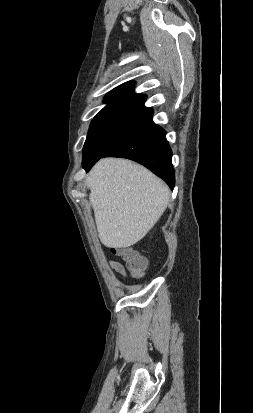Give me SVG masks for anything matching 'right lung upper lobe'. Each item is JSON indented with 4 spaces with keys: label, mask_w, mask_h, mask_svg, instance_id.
I'll return each instance as SVG.
<instances>
[{
    "label": "right lung upper lobe",
    "mask_w": 253,
    "mask_h": 413,
    "mask_svg": "<svg viewBox=\"0 0 253 413\" xmlns=\"http://www.w3.org/2000/svg\"><path fill=\"white\" fill-rule=\"evenodd\" d=\"M132 82L124 83L110 91L104 102L108 103L96 116L131 115L151 118L153 110L144 106L146 95L134 93Z\"/></svg>",
    "instance_id": "right-lung-upper-lobe-1"
}]
</instances>
